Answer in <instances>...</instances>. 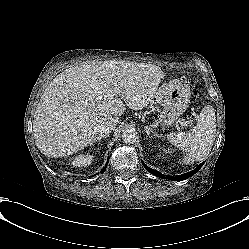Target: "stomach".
I'll return each mask as SVG.
<instances>
[{"mask_svg":"<svg viewBox=\"0 0 249 249\" xmlns=\"http://www.w3.org/2000/svg\"><path fill=\"white\" fill-rule=\"evenodd\" d=\"M190 97V89L181 82H170L159 88L155 98L163 110L158 122L163 126L174 124L188 108Z\"/></svg>","mask_w":249,"mask_h":249,"instance_id":"stomach-1","label":"stomach"}]
</instances>
